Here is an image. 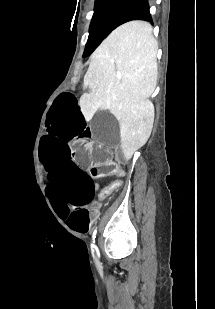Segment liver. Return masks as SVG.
Wrapping results in <instances>:
<instances>
[{
  "mask_svg": "<svg viewBox=\"0 0 215 309\" xmlns=\"http://www.w3.org/2000/svg\"><path fill=\"white\" fill-rule=\"evenodd\" d=\"M145 20H130L110 32L91 54L84 76L81 110L90 120L97 108L110 110L120 124L126 161L147 142L154 106L148 96L156 86L158 44Z\"/></svg>",
  "mask_w": 215,
  "mask_h": 309,
  "instance_id": "obj_1",
  "label": "liver"
}]
</instances>
